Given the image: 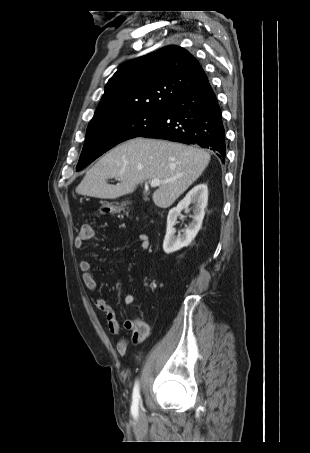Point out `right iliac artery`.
Returning a JSON list of instances; mask_svg holds the SVG:
<instances>
[{"instance_id":"82829eb1","label":"right iliac artery","mask_w":310,"mask_h":453,"mask_svg":"<svg viewBox=\"0 0 310 453\" xmlns=\"http://www.w3.org/2000/svg\"><path fill=\"white\" fill-rule=\"evenodd\" d=\"M139 400H140L139 384H138V382H136L135 386H134V389H133V395H132L131 411H132L133 415H137L138 414Z\"/></svg>"}]
</instances>
